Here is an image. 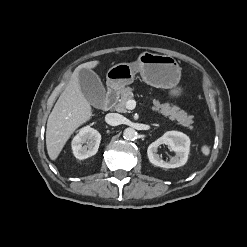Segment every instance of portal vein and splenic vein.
<instances>
[{
  "mask_svg": "<svg viewBox=\"0 0 247 247\" xmlns=\"http://www.w3.org/2000/svg\"><path fill=\"white\" fill-rule=\"evenodd\" d=\"M136 107V101L133 99H130L126 102V108L128 110H133Z\"/></svg>",
  "mask_w": 247,
  "mask_h": 247,
  "instance_id": "portal-vein-and-splenic-vein-1",
  "label": "portal vein and splenic vein"
}]
</instances>
